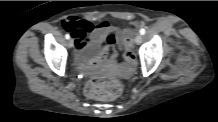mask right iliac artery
Instances as JSON below:
<instances>
[{
	"mask_svg": "<svg viewBox=\"0 0 218 122\" xmlns=\"http://www.w3.org/2000/svg\"><path fill=\"white\" fill-rule=\"evenodd\" d=\"M65 38H66V39H69V38H70V35H69V34H66V35H65Z\"/></svg>",
	"mask_w": 218,
	"mask_h": 122,
	"instance_id": "1",
	"label": "right iliac artery"
}]
</instances>
